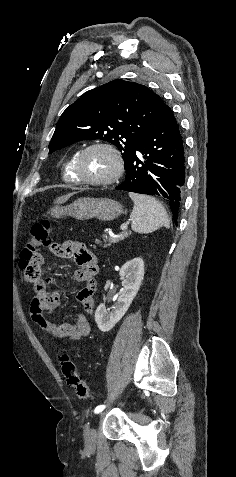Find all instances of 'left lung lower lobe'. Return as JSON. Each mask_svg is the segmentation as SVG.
I'll return each mask as SVG.
<instances>
[{"instance_id":"left-lung-lower-lobe-1","label":"left lung lower lobe","mask_w":236,"mask_h":477,"mask_svg":"<svg viewBox=\"0 0 236 477\" xmlns=\"http://www.w3.org/2000/svg\"><path fill=\"white\" fill-rule=\"evenodd\" d=\"M127 166L126 178L116 189L164 199L177 225L185 185V155L182 136L173 111L164 102L156 122Z\"/></svg>"}]
</instances>
